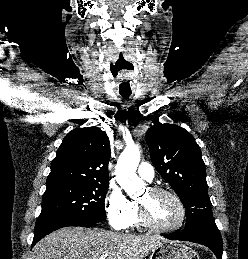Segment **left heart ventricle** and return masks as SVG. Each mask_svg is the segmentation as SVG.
<instances>
[{"label": "left heart ventricle", "instance_id": "obj_1", "mask_svg": "<svg viewBox=\"0 0 248 259\" xmlns=\"http://www.w3.org/2000/svg\"><path fill=\"white\" fill-rule=\"evenodd\" d=\"M145 205L150 220L159 227H171L177 224L180 210L176 202L166 194H151L148 190L139 201Z\"/></svg>", "mask_w": 248, "mask_h": 259}]
</instances>
